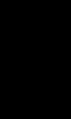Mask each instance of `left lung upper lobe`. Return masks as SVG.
I'll list each match as a JSON object with an SVG mask.
<instances>
[{
	"label": "left lung upper lobe",
	"instance_id": "5c2ea615",
	"mask_svg": "<svg viewBox=\"0 0 71 119\" xmlns=\"http://www.w3.org/2000/svg\"><path fill=\"white\" fill-rule=\"evenodd\" d=\"M49 12L57 17L67 35L71 27V0H41Z\"/></svg>",
	"mask_w": 71,
	"mask_h": 119
}]
</instances>
